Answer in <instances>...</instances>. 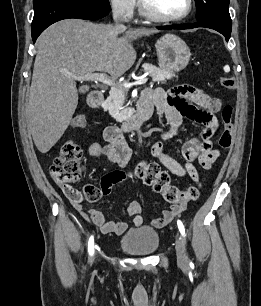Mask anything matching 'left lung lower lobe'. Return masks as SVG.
<instances>
[{"label": "left lung lower lobe", "instance_id": "left-lung-lower-lobe-1", "mask_svg": "<svg viewBox=\"0 0 261 306\" xmlns=\"http://www.w3.org/2000/svg\"><path fill=\"white\" fill-rule=\"evenodd\" d=\"M197 27H206V28H211L222 35L225 36L226 41L229 40L230 35H231V29L232 26H224V25H218V24H213V23H202V22H196V23H191V24H183V25H171V26H160L158 28L160 29H192V28H197Z\"/></svg>", "mask_w": 261, "mask_h": 306}]
</instances>
